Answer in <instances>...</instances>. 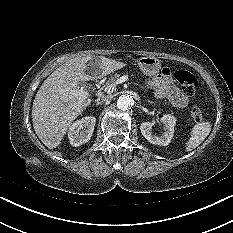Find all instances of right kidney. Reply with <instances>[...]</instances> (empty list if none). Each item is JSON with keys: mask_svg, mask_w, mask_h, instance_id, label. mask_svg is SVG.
Here are the masks:
<instances>
[{"mask_svg": "<svg viewBox=\"0 0 233 233\" xmlns=\"http://www.w3.org/2000/svg\"><path fill=\"white\" fill-rule=\"evenodd\" d=\"M96 118L93 116H86L81 120L75 121L68 131V138L70 144L78 147L88 142L93 134Z\"/></svg>", "mask_w": 233, "mask_h": 233, "instance_id": "1", "label": "right kidney"}]
</instances>
